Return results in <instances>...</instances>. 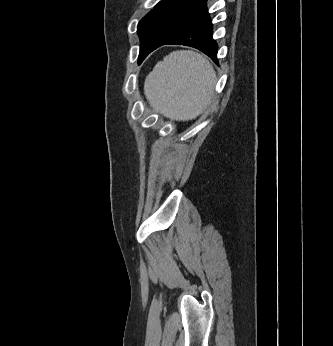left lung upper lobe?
Wrapping results in <instances>:
<instances>
[{
    "label": "left lung upper lobe",
    "mask_w": 333,
    "mask_h": 346,
    "mask_svg": "<svg viewBox=\"0 0 333 346\" xmlns=\"http://www.w3.org/2000/svg\"><path fill=\"white\" fill-rule=\"evenodd\" d=\"M207 0H161L138 24L139 63L147 51L175 33L206 6Z\"/></svg>",
    "instance_id": "1"
}]
</instances>
